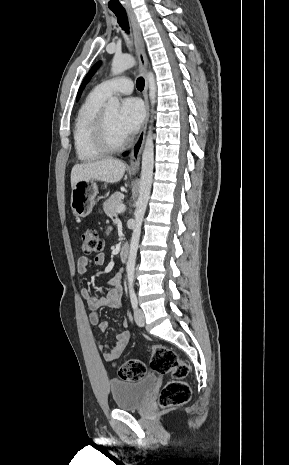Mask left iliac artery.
<instances>
[{
	"label": "left iliac artery",
	"mask_w": 289,
	"mask_h": 465,
	"mask_svg": "<svg viewBox=\"0 0 289 465\" xmlns=\"http://www.w3.org/2000/svg\"><path fill=\"white\" fill-rule=\"evenodd\" d=\"M130 301H131V305H132L133 309H136L137 305H138V300H137V296H136L135 292H133V291L130 292Z\"/></svg>",
	"instance_id": "44dca946"
}]
</instances>
